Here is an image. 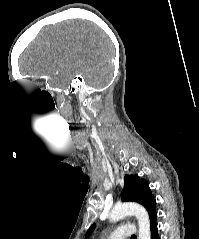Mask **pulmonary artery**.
Masks as SVG:
<instances>
[{
    "mask_svg": "<svg viewBox=\"0 0 199 239\" xmlns=\"http://www.w3.org/2000/svg\"><path fill=\"white\" fill-rule=\"evenodd\" d=\"M135 226L132 224H125L112 232L107 239H126L135 233Z\"/></svg>",
    "mask_w": 199,
    "mask_h": 239,
    "instance_id": "e3ab8cb5",
    "label": "pulmonary artery"
}]
</instances>
